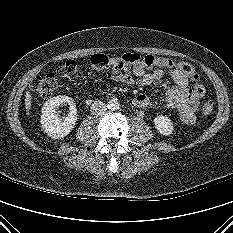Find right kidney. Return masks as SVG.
Listing matches in <instances>:
<instances>
[{"label": "right kidney", "instance_id": "right-kidney-1", "mask_svg": "<svg viewBox=\"0 0 233 233\" xmlns=\"http://www.w3.org/2000/svg\"><path fill=\"white\" fill-rule=\"evenodd\" d=\"M62 103L70 105V113L67 117L62 118L56 111ZM77 122V109L73 100L68 96H56L50 98L42 108L41 124L48 136L53 139L63 138L68 135Z\"/></svg>", "mask_w": 233, "mask_h": 233}]
</instances>
